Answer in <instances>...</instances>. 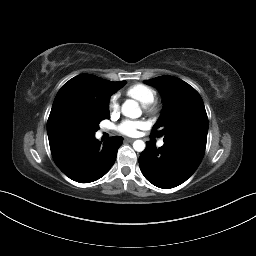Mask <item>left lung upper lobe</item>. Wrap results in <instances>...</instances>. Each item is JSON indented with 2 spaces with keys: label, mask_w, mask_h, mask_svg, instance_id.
Wrapping results in <instances>:
<instances>
[{
  "label": "left lung upper lobe",
  "mask_w": 256,
  "mask_h": 256,
  "mask_svg": "<svg viewBox=\"0 0 256 256\" xmlns=\"http://www.w3.org/2000/svg\"><path fill=\"white\" fill-rule=\"evenodd\" d=\"M144 83L156 87L164 103L163 112L153 127L152 137L164 135V144L203 158L208 118L199 93L186 82L160 76Z\"/></svg>",
  "instance_id": "1"
}]
</instances>
